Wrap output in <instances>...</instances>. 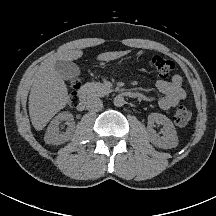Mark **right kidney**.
Wrapping results in <instances>:
<instances>
[{
    "label": "right kidney",
    "instance_id": "ca27d5eb",
    "mask_svg": "<svg viewBox=\"0 0 216 216\" xmlns=\"http://www.w3.org/2000/svg\"><path fill=\"white\" fill-rule=\"evenodd\" d=\"M65 121L68 125L66 132L59 133V124ZM73 115L69 112L59 113L49 124L45 133L44 140L47 144L59 145L71 139L72 132L75 128Z\"/></svg>",
    "mask_w": 216,
    "mask_h": 216
}]
</instances>
